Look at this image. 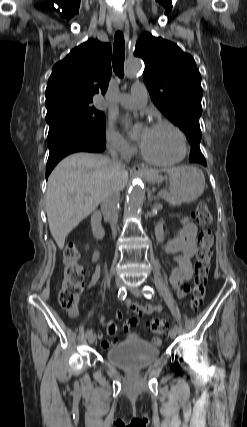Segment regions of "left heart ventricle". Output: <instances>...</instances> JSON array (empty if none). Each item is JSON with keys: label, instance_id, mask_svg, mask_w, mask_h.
<instances>
[{"label": "left heart ventricle", "instance_id": "left-heart-ventricle-1", "mask_svg": "<svg viewBox=\"0 0 247 427\" xmlns=\"http://www.w3.org/2000/svg\"><path fill=\"white\" fill-rule=\"evenodd\" d=\"M140 146L151 158L171 160L180 152L178 136L167 127H156L142 130L138 135Z\"/></svg>", "mask_w": 247, "mask_h": 427}]
</instances>
